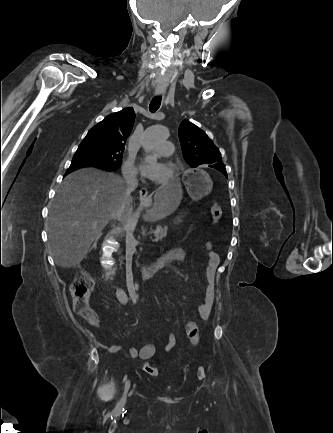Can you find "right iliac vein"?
<instances>
[{
	"instance_id": "right-iliac-vein-1",
	"label": "right iliac vein",
	"mask_w": 333,
	"mask_h": 433,
	"mask_svg": "<svg viewBox=\"0 0 333 433\" xmlns=\"http://www.w3.org/2000/svg\"><path fill=\"white\" fill-rule=\"evenodd\" d=\"M129 388H130V381L128 380L125 384V389H129ZM132 393H133V391L130 394H132Z\"/></svg>"
}]
</instances>
